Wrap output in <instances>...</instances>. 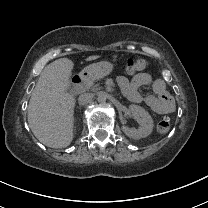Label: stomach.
<instances>
[{"instance_id":"0dacf381","label":"stomach","mask_w":208,"mask_h":208,"mask_svg":"<svg viewBox=\"0 0 208 208\" xmlns=\"http://www.w3.org/2000/svg\"><path fill=\"white\" fill-rule=\"evenodd\" d=\"M115 67L116 63L110 60L95 62L86 66L80 75L84 80H95L112 74Z\"/></svg>"}]
</instances>
